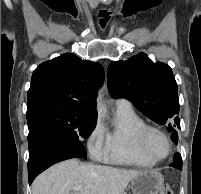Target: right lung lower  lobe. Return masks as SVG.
Returning <instances> with one entry per match:
<instances>
[{"label": "right lung lower lobe", "instance_id": "right-lung-lower-lobe-1", "mask_svg": "<svg viewBox=\"0 0 201 194\" xmlns=\"http://www.w3.org/2000/svg\"><path fill=\"white\" fill-rule=\"evenodd\" d=\"M29 184L49 166L70 158L78 157L85 149L82 143L46 124L29 129Z\"/></svg>", "mask_w": 201, "mask_h": 194}]
</instances>
